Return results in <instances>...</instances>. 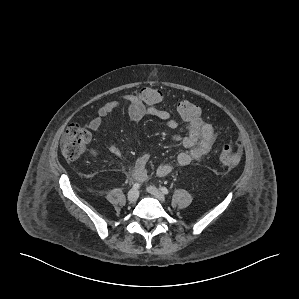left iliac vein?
Here are the masks:
<instances>
[{"instance_id":"1","label":"left iliac vein","mask_w":299,"mask_h":299,"mask_svg":"<svg viewBox=\"0 0 299 299\" xmlns=\"http://www.w3.org/2000/svg\"><path fill=\"white\" fill-rule=\"evenodd\" d=\"M147 190L158 200H160L161 202H165L166 200L165 195L158 188H156L155 186H149Z\"/></svg>"}]
</instances>
